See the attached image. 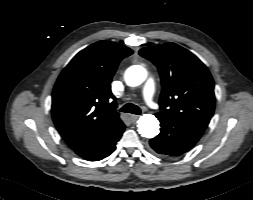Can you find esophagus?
Here are the masks:
<instances>
[{
  "mask_svg": "<svg viewBox=\"0 0 253 200\" xmlns=\"http://www.w3.org/2000/svg\"><path fill=\"white\" fill-rule=\"evenodd\" d=\"M139 118V115L131 114L130 119L135 122Z\"/></svg>",
  "mask_w": 253,
  "mask_h": 200,
  "instance_id": "esophagus-1",
  "label": "esophagus"
}]
</instances>
